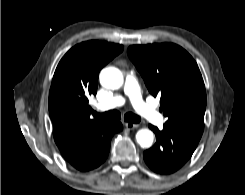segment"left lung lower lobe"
Instances as JSON below:
<instances>
[{
    "label": "left lung lower lobe",
    "instance_id": "obj_1",
    "mask_svg": "<svg viewBox=\"0 0 245 195\" xmlns=\"http://www.w3.org/2000/svg\"><path fill=\"white\" fill-rule=\"evenodd\" d=\"M157 142L143 154L146 164L160 174H171L182 167L196 149L200 135L173 125L164 124L163 130L149 125Z\"/></svg>",
    "mask_w": 245,
    "mask_h": 195
}]
</instances>
